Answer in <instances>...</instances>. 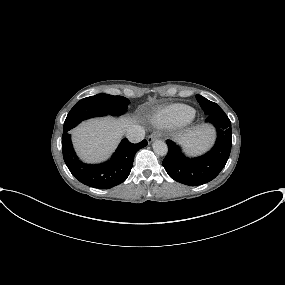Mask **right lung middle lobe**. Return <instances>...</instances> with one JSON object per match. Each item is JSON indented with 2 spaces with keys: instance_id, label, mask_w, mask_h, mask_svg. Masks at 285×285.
<instances>
[{
  "instance_id": "dd1d6c3e",
  "label": "right lung middle lobe",
  "mask_w": 285,
  "mask_h": 285,
  "mask_svg": "<svg viewBox=\"0 0 285 285\" xmlns=\"http://www.w3.org/2000/svg\"><path fill=\"white\" fill-rule=\"evenodd\" d=\"M129 100L122 96L97 94L78 101L68 113L63 132H68L81 121L97 116L121 115L126 112Z\"/></svg>"
}]
</instances>
